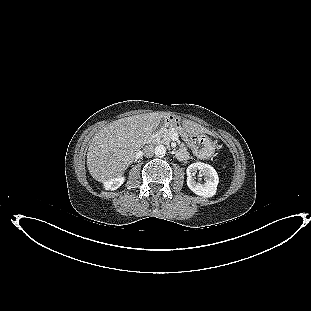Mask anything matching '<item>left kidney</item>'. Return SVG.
<instances>
[{
	"label": "left kidney",
	"instance_id": "obj_1",
	"mask_svg": "<svg viewBox=\"0 0 311 311\" xmlns=\"http://www.w3.org/2000/svg\"><path fill=\"white\" fill-rule=\"evenodd\" d=\"M199 171L204 176V183L196 182L194 173ZM187 185L195 194L203 197H212L216 194L219 177L216 170L209 164L196 162L187 167Z\"/></svg>",
	"mask_w": 311,
	"mask_h": 311
}]
</instances>
